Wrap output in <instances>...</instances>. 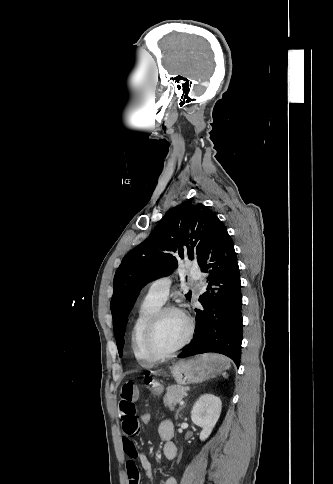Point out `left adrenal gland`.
Returning a JSON list of instances; mask_svg holds the SVG:
<instances>
[{"label":"left adrenal gland","instance_id":"left-adrenal-gland-1","mask_svg":"<svg viewBox=\"0 0 333 484\" xmlns=\"http://www.w3.org/2000/svg\"><path fill=\"white\" fill-rule=\"evenodd\" d=\"M184 407V405L182 407H180L177 412H176V415H175V419H178V415H179V411Z\"/></svg>","mask_w":333,"mask_h":484}]
</instances>
